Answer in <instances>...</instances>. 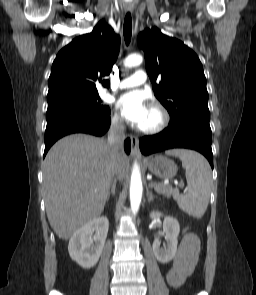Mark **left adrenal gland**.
Wrapping results in <instances>:
<instances>
[{
    "label": "left adrenal gland",
    "mask_w": 256,
    "mask_h": 295,
    "mask_svg": "<svg viewBox=\"0 0 256 295\" xmlns=\"http://www.w3.org/2000/svg\"><path fill=\"white\" fill-rule=\"evenodd\" d=\"M149 187H150V186H149ZM149 187L147 188L146 195H147V197H148V202H151V201L155 198V196L153 195L152 191L149 190Z\"/></svg>",
    "instance_id": "a2214340"
}]
</instances>
